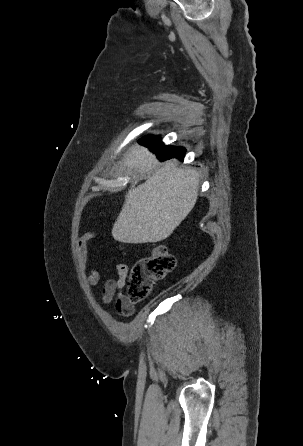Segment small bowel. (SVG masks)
I'll use <instances>...</instances> for the list:
<instances>
[{"label":"small bowel","instance_id":"1","mask_svg":"<svg viewBox=\"0 0 303 446\" xmlns=\"http://www.w3.org/2000/svg\"><path fill=\"white\" fill-rule=\"evenodd\" d=\"M96 235L94 232H86L83 234L77 244L78 249V257L79 264L82 271L86 270L87 262H88V254L89 248L91 244L95 241ZM117 277L107 279L100 293V299L103 303L109 304L116 299L115 309L116 311L124 316H130L134 312V307L132 304H129L126 300V296L123 293V288L126 284V278L129 273L128 266L123 263H119L116 265ZM100 281V273L97 269L92 268L87 276L86 282L89 286H96Z\"/></svg>","mask_w":303,"mask_h":446}]
</instances>
